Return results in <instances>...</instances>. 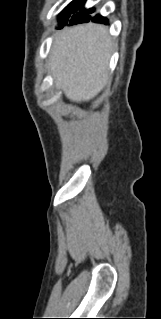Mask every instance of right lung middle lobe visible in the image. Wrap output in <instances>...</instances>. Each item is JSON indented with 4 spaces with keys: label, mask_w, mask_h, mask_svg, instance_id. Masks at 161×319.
Wrapping results in <instances>:
<instances>
[{
    "label": "right lung middle lobe",
    "mask_w": 161,
    "mask_h": 319,
    "mask_svg": "<svg viewBox=\"0 0 161 319\" xmlns=\"http://www.w3.org/2000/svg\"><path fill=\"white\" fill-rule=\"evenodd\" d=\"M84 4H85V0H78L76 2L70 3L67 7H65V9L62 11L58 19L59 26L62 27L63 24H67V23H69L70 25H73V24L80 23L81 21H84L86 18L89 19L90 15H88V13H93L94 10L85 9Z\"/></svg>",
    "instance_id": "right-lung-middle-lobe-1"
}]
</instances>
